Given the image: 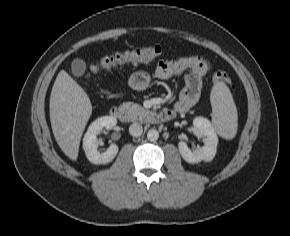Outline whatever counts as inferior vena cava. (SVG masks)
Here are the masks:
<instances>
[{"label": "inferior vena cava", "instance_id": "inferior-vena-cava-1", "mask_svg": "<svg viewBox=\"0 0 290 236\" xmlns=\"http://www.w3.org/2000/svg\"><path fill=\"white\" fill-rule=\"evenodd\" d=\"M143 132V128L140 124L138 123H133L132 125H130L129 127V133L132 135V136H135V137H138L142 134Z\"/></svg>", "mask_w": 290, "mask_h": 236}]
</instances>
